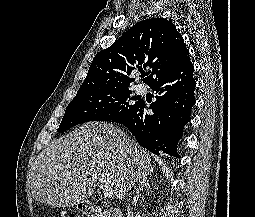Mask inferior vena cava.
I'll return each mask as SVG.
<instances>
[{"mask_svg": "<svg viewBox=\"0 0 255 217\" xmlns=\"http://www.w3.org/2000/svg\"><path fill=\"white\" fill-rule=\"evenodd\" d=\"M129 191V190H128ZM128 193V192H127ZM126 193V195H127ZM127 217H133V213L131 211V207H130V204L128 203V206H127Z\"/></svg>", "mask_w": 255, "mask_h": 217, "instance_id": "inferior-vena-cava-1", "label": "inferior vena cava"}]
</instances>
